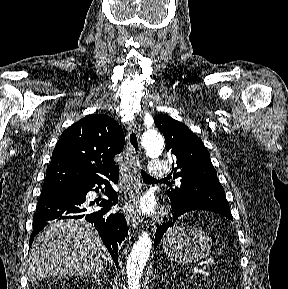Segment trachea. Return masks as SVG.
Wrapping results in <instances>:
<instances>
[{
    "label": "trachea",
    "instance_id": "1",
    "mask_svg": "<svg viewBox=\"0 0 288 289\" xmlns=\"http://www.w3.org/2000/svg\"><path fill=\"white\" fill-rule=\"evenodd\" d=\"M141 176L143 180H154L150 175H148L145 171L141 170Z\"/></svg>",
    "mask_w": 288,
    "mask_h": 289
}]
</instances>
